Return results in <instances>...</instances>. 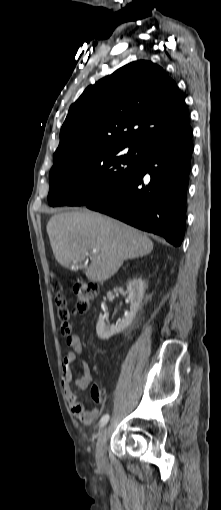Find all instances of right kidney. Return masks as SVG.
Wrapping results in <instances>:
<instances>
[{
  "mask_svg": "<svg viewBox=\"0 0 221 510\" xmlns=\"http://www.w3.org/2000/svg\"><path fill=\"white\" fill-rule=\"evenodd\" d=\"M128 299L130 300V312L122 318L118 325L108 324L102 315L99 316L96 333L100 339H109L111 336L123 331L131 325L138 312L145 293L144 281L141 278L134 279L127 286Z\"/></svg>",
  "mask_w": 221,
  "mask_h": 510,
  "instance_id": "right-kidney-1",
  "label": "right kidney"
}]
</instances>
